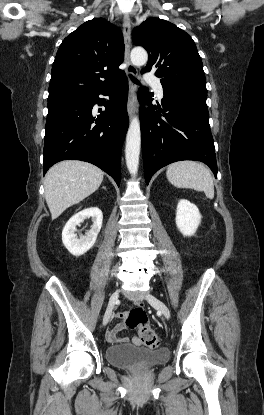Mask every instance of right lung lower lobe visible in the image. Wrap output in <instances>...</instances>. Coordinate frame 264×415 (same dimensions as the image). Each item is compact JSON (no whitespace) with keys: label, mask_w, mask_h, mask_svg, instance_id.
<instances>
[{"label":"right lung lower lobe","mask_w":264,"mask_h":415,"mask_svg":"<svg viewBox=\"0 0 264 415\" xmlns=\"http://www.w3.org/2000/svg\"><path fill=\"white\" fill-rule=\"evenodd\" d=\"M109 95L97 117L99 95ZM128 81L123 74L110 86L92 93L48 102L45 126L44 174L55 163L75 159L92 163L120 185L121 148L128 129Z\"/></svg>","instance_id":"1"}]
</instances>
